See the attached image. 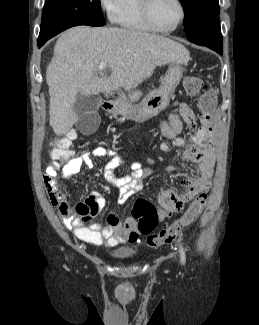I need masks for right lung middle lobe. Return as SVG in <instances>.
Masks as SVG:
<instances>
[{
    "label": "right lung middle lobe",
    "instance_id": "right-lung-middle-lobe-1",
    "mask_svg": "<svg viewBox=\"0 0 259 325\" xmlns=\"http://www.w3.org/2000/svg\"><path fill=\"white\" fill-rule=\"evenodd\" d=\"M100 0H46L38 41H46L77 25L102 26Z\"/></svg>",
    "mask_w": 259,
    "mask_h": 325
}]
</instances>
